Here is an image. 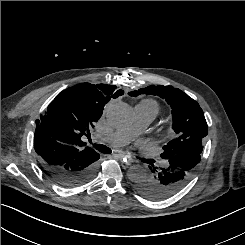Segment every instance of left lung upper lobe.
<instances>
[{
    "label": "left lung upper lobe",
    "mask_w": 245,
    "mask_h": 245,
    "mask_svg": "<svg viewBox=\"0 0 245 245\" xmlns=\"http://www.w3.org/2000/svg\"><path fill=\"white\" fill-rule=\"evenodd\" d=\"M139 94L159 96L171 105L175 138L163 147L160 155L163 160L183 152L202 153V140L208 127L203 110L195 100L173 86L151 85L129 93L134 97Z\"/></svg>",
    "instance_id": "1"
}]
</instances>
